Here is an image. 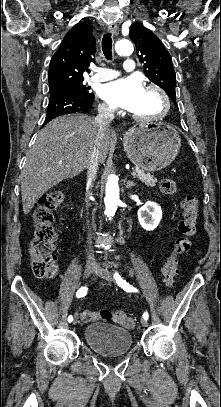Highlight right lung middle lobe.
<instances>
[{"label": "right lung middle lobe", "instance_id": "dd1d6c3e", "mask_svg": "<svg viewBox=\"0 0 221 407\" xmlns=\"http://www.w3.org/2000/svg\"><path fill=\"white\" fill-rule=\"evenodd\" d=\"M89 89L90 88L83 85L82 82H79L64 87L51 89L50 98H54L61 95L94 96L93 93L89 92Z\"/></svg>", "mask_w": 221, "mask_h": 407}]
</instances>
